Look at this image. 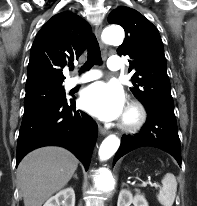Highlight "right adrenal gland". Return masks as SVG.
<instances>
[{"instance_id":"2a0ac1e0","label":"right adrenal gland","mask_w":197,"mask_h":206,"mask_svg":"<svg viewBox=\"0 0 197 206\" xmlns=\"http://www.w3.org/2000/svg\"><path fill=\"white\" fill-rule=\"evenodd\" d=\"M73 178H75V179L78 180V177H77V174H76V173L73 175Z\"/></svg>"}]
</instances>
